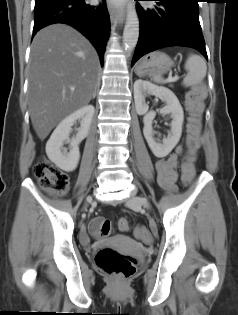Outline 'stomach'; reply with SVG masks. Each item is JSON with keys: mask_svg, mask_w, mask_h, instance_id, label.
<instances>
[{"mask_svg": "<svg viewBox=\"0 0 238 315\" xmlns=\"http://www.w3.org/2000/svg\"><path fill=\"white\" fill-rule=\"evenodd\" d=\"M172 66L173 61L166 53L155 51L141 59L135 71L138 76H160L170 71Z\"/></svg>", "mask_w": 238, "mask_h": 315, "instance_id": "stomach-1", "label": "stomach"}]
</instances>
